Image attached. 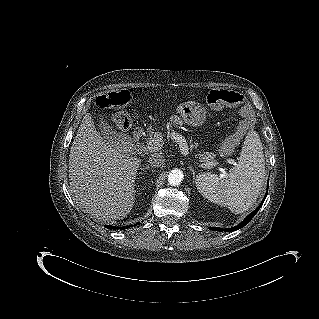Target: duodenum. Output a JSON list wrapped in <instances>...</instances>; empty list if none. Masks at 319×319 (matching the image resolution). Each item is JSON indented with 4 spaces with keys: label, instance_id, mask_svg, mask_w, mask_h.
Returning <instances> with one entry per match:
<instances>
[{
    "label": "duodenum",
    "instance_id": "1",
    "mask_svg": "<svg viewBox=\"0 0 319 319\" xmlns=\"http://www.w3.org/2000/svg\"><path fill=\"white\" fill-rule=\"evenodd\" d=\"M143 137V128L142 127H136L133 131V140L135 143H138Z\"/></svg>",
    "mask_w": 319,
    "mask_h": 319
}]
</instances>
